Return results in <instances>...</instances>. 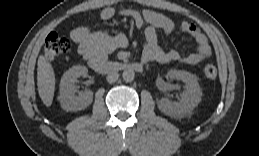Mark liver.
Wrapping results in <instances>:
<instances>
[{
	"instance_id": "obj_1",
	"label": "liver",
	"mask_w": 259,
	"mask_h": 156,
	"mask_svg": "<svg viewBox=\"0 0 259 156\" xmlns=\"http://www.w3.org/2000/svg\"><path fill=\"white\" fill-rule=\"evenodd\" d=\"M37 65L38 93L43 103L49 107L54 97L55 73L52 65L42 55L39 56Z\"/></svg>"
}]
</instances>
